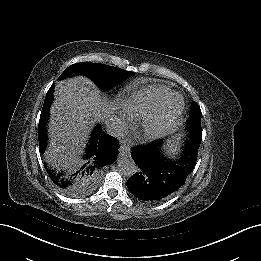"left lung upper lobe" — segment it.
Returning <instances> with one entry per match:
<instances>
[{
    "instance_id": "obj_1",
    "label": "left lung upper lobe",
    "mask_w": 261,
    "mask_h": 261,
    "mask_svg": "<svg viewBox=\"0 0 261 261\" xmlns=\"http://www.w3.org/2000/svg\"><path fill=\"white\" fill-rule=\"evenodd\" d=\"M201 117L202 113L200 107L196 102H192L190 115H189V131L193 138L201 141L202 139V130H201Z\"/></svg>"
}]
</instances>
